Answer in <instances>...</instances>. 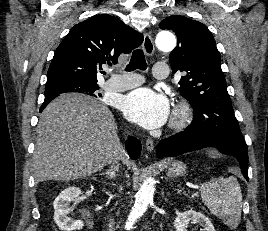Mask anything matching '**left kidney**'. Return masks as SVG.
Segmentation results:
<instances>
[{
  "label": "left kidney",
  "mask_w": 268,
  "mask_h": 231,
  "mask_svg": "<svg viewBox=\"0 0 268 231\" xmlns=\"http://www.w3.org/2000/svg\"><path fill=\"white\" fill-rule=\"evenodd\" d=\"M190 221L199 223L202 226L200 231H216L209 218L194 210H187L185 212L178 213L174 220L175 230L187 231L186 228Z\"/></svg>",
  "instance_id": "1"
}]
</instances>
